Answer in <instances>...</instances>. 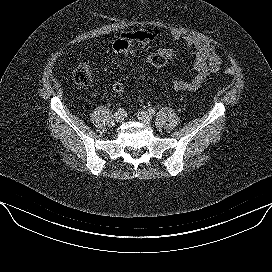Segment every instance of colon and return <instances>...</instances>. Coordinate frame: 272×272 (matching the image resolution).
<instances>
[{
  "label": "colon",
  "instance_id": "obj_1",
  "mask_svg": "<svg viewBox=\"0 0 272 272\" xmlns=\"http://www.w3.org/2000/svg\"><path fill=\"white\" fill-rule=\"evenodd\" d=\"M157 32L155 30L136 31L134 38L141 44L142 47L148 45L155 37ZM167 58L158 52L150 55L146 61V66H153L155 68H163L167 64ZM227 74H233L232 69H226ZM140 78H143L141 74ZM74 81L83 86L90 85L93 82L92 68L88 63L79 64L73 72ZM113 90L116 93L124 91V84L121 81H116L113 84Z\"/></svg>",
  "mask_w": 272,
  "mask_h": 272
}]
</instances>
